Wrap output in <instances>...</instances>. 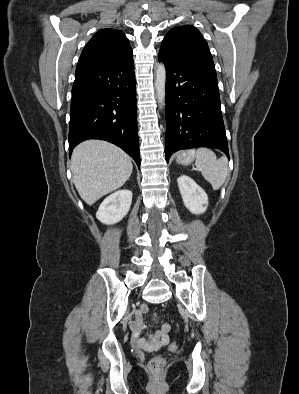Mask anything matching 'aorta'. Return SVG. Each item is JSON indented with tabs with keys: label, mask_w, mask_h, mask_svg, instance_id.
I'll return each mask as SVG.
<instances>
[{
	"label": "aorta",
	"mask_w": 299,
	"mask_h": 394,
	"mask_svg": "<svg viewBox=\"0 0 299 394\" xmlns=\"http://www.w3.org/2000/svg\"><path fill=\"white\" fill-rule=\"evenodd\" d=\"M155 75H156L155 90L160 107H162L165 103V96H166V91H165L166 68L163 63H159L156 66Z\"/></svg>",
	"instance_id": "obj_1"
}]
</instances>
